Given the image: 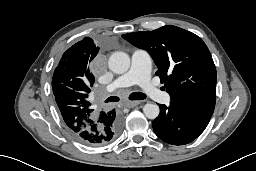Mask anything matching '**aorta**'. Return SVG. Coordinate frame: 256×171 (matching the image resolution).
I'll list each match as a JSON object with an SVG mask.
<instances>
[{
    "mask_svg": "<svg viewBox=\"0 0 256 171\" xmlns=\"http://www.w3.org/2000/svg\"><path fill=\"white\" fill-rule=\"evenodd\" d=\"M109 69L116 74H123L130 67V57L125 52H114L108 61ZM160 112L157 104L147 103L143 107V113L148 119H155Z\"/></svg>",
    "mask_w": 256,
    "mask_h": 171,
    "instance_id": "obj_1",
    "label": "aorta"
}]
</instances>
